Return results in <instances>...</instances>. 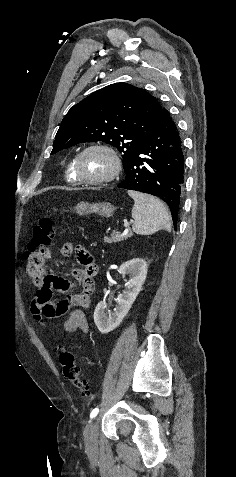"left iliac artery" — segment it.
Segmentation results:
<instances>
[{
  "label": "left iliac artery",
  "instance_id": "44dca946",
  "mask_svg": "<svg viewBox=\"0 0 236 477\" xmlns=\"http://www.w3.org/2000/svg\"><path fill=\"white\" fill-rule=\"evenodd\" d=\"M98 412H99L98 408L93 409L90 413V418L93 419Z\"/></svg>",
  "mask_w": 236,
  "mask_h": 477
}]
</instances>
